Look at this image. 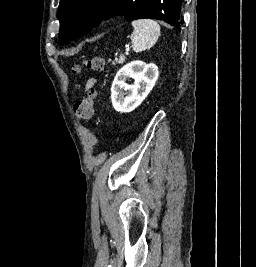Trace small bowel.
Wrapping results in <instances>:
<instances>
[{
    "instance_id": "c3829d8e",
    "label": "small bowel",
    "mask_w": 256,
    "mask_h": 267,
    "mask_svg": "<svg viewBox=\"0 0 256 267\" xmlns=\"http://www.w3.org/2000/svg\"><path fill=\"white\" fill-rule=\"evenodd\" d=\"M95 84H96V79L90 78L86 83L85 89L90 90Z\"/></svg>"
}]
</instances>
